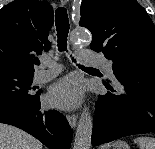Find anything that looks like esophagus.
I'll use <instances>...</instances> for the list:
<instances>
[{"mask_svg":"<svg viewBox=\"0 0 155 149\" xmlns=\"http://www.w3.org/2000/svg\"><path fill=\"white\" fill-rule=\"evenodd\" d=\"M69 0H61L62 4H66ZM67 120L71 126V128H75L76 127V123H77V116L75 114H68L67 115Z\"/></svg>","mask_w":155,"mask_h":149,"instance_id":"1","label":"esophagus"}]
</instances>
